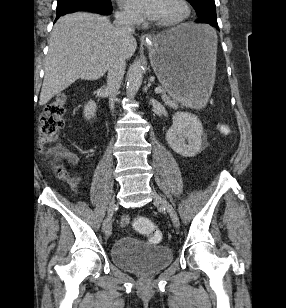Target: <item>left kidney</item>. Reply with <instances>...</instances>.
I'll return each instance as SVG.
<instances>
[{
  "label": "left kidney",
  "instance_id": "1",
  "mask_svg": "<svg viewBox=\"0 0 286 308\" xmlns=\"http://www.w3.org/2000/svg\"><path fill=\"white\" fill-rule=\"evenodd\" d=\"M203 126L196 115L176 112L173 125L166 133L169 146L184 157H193L201 149Z\"/></svg>",
  "mask_w": 286,
  "mask_h": 308
}]
</instances>
